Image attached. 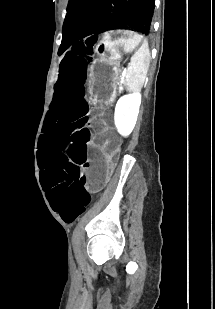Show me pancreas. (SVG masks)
I'll use <instances>...</instances> for the list:
<instances>
[{
	"label": "pancreas",
	"mask_w": 215,
	"mask_h": 309,
	"mask_svg": "<svg viewBox=\"0 0 215 309\" xmlns=\"http://www.w3.org/2000/svg\"><path fill=\"white\" fill-rule=\"evenodd\" d=\"M119 90H123V86H122V84H120V86H119Z\"/></svg>",
	"instance_id": "cf45deb5"
}]
</instances>
